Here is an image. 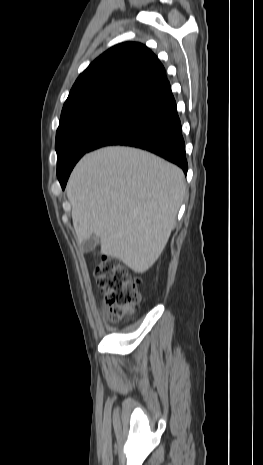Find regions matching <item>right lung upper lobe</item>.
<instances>
[{
	"label": "right lung upper lobe",
	"mask_w": 263,
	"mask_h": 465,
	"mask_svg": "<svg viewBox=\"0 0 263 465\" xmlns=\"http://www.w3.org/2000/svg\"><path fill=\"white\" fill-rule=\"evenodd\" d=\"M166 81L165 69L153 52L140 43H122L100 55L77 78L62 113L103 97L137 99Z\"/></svg>",
	"instance_id": "cb5924a9"
}]
</instances>
